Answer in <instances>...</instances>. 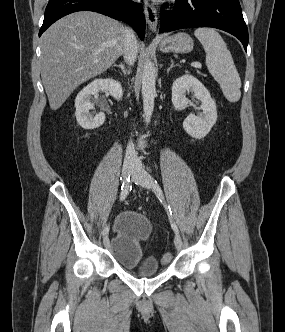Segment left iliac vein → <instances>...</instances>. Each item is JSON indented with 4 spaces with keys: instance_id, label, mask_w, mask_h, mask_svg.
Returning a JSON list of instances; mask_svg holds the SVG:
<instances>
[{
    "instance_id": "left-iliac-vein-1",
    "label": "left iliac vein",
    "mask_w": 285,
    "mask_h": 332,
    "mask_svg": "<svg viewBox=\"0 0 285 332\" xmlns=\"http://www.w3.org/2000/svg\"><path fill=\"white\" fill-rule=\"evenodd\" d=\"M132 180L137 182L142 187L146 189L153 188V181L150 175L140 166L138 165L132 172ZM175 247L177 250H181L183 247V242L180 235L176 234L174 238Z\"/></svg>"
}]
</instances>
